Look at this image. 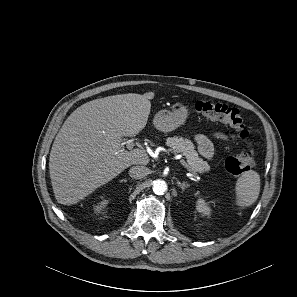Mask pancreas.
<instances>
[{
	"instance_id": "cf45deb5",
	"label": "pancreas",
	"mask_w": 297,
	"mask_h": 297,
	"mask_svg": "<svg viewBox=\"0 0 297 297\" xmlns=\"http://www.w3.org/2000/svg\"><path fill=\"white\" fill-rule=\"evenodd\" d=\"M166 145L169 146L173 152L182 153L193 172L203 173L210 169L209 164L199 157L194 144L190 140L182 137H169L166 140Z\"/></svg>"
}]
</instances>
